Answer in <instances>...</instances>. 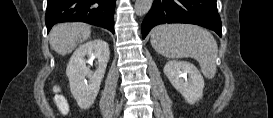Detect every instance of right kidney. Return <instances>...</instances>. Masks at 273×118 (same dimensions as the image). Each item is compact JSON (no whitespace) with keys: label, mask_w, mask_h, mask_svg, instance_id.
<instances>
[{"label":"right kidney","mask_w":273,"mask_h":118,"mask_svg":"<svg viewBox=\"0 0 273 118\" xmlns=\"http://www.w3.org/2000/svg\"><path fill=\"white\" fill-rule=\"evenodd\" d=\"M89 61L98 60V68L92 72L86 66ZM110 57L109 45L103 40H93L80 45L70 58L66 74L70 83V90L82 109H88L94 103L104 77ZM88 81H87V79Z\"/></svg>","instance_id":"ca27d5eb"}]
</instances>
